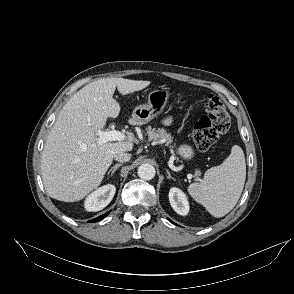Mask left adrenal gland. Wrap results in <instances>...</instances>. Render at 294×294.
<instances>
[{
	"instance_id": "a2214340",
	"label": "left adrenal gland",
	"mask_w": 294,
	"mask_h": 294,
	"mask_svg": "<svg viewBox=\"0 0 294 294\" xmlns=\"http://www.w3.org/2000/svg\"><path fill=\"white\" fill-rule=\"evenodd\" d=\"M166 172H167V178L168 179L175 180V178L171 176L170 172L167 169H166Z\"/></svg>"
}]
</instances>
